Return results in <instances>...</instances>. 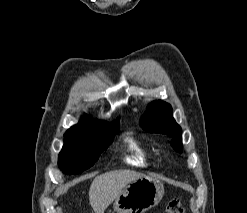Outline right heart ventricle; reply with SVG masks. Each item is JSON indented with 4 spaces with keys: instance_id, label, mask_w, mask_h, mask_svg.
Instances as JSON below:
<instances>
[{
    "instance_id": "right-heart-ventricle-1",
    "label": "right heart ventricle",
    "mask_w": 247,
    "mask_h": 213,
    "mask_svg": "<svg viewBox=\"0 0 247 213\" xmlns=\"http://www.w3.org/2000/svg\"><path fill=\"white\" fill-rule=\"evenodd\" d=\"M126 157L125 162L135 167H147L152 162V156L147 146L132 135L125 137Z\"/></svg>"
}]
</instances>
